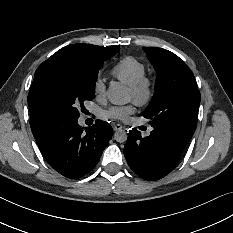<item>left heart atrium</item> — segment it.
<instances>
[{"label": "left heart atrium", "instance_id": "obj_1", "mask_svg": "<svg viewBox=\"0 0 233 233\" xmlns=\"http://www.w3.org/2000/svg\"><path fill=\"white\" fill-rule=\"evenodd\" d=\"M137 101L133 100L130 104L122 107H114L110 110L103 111L102 116L106 118H113L117 120H126L131 114L135 112Z\"/></svg>", "mask_w": 233, "mask_h": 233}]
</instances>
